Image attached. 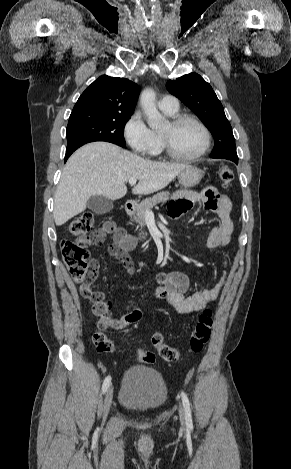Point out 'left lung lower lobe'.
<instances>
[{
	"mask_svg": "<svg viewBox=\"0 0 291 469\" xmlns=\"http://www.w3.org/2000/svg\"><path fill=\"white\" fill-rule=\"evenodd\" d=\"M220 158L228 159V160H231V161L235 162L236 164H238V158L229 157V156H222Z\"/></svg>",
	"mask_w": 291,
	"mask_h": 469,
	"instance_id": "obj_1",
	"label": "left lung lower lobe"
}]
</instances>
